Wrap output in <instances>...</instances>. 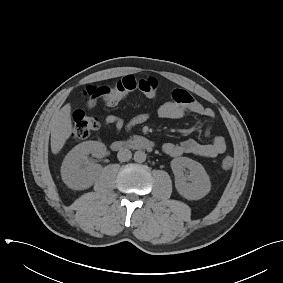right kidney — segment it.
Wrapping results in <instances>:
<instances>
[{
	"instance_id": "1",
	"label": "right kidney",
	"mask_w": 283,
	"mask_h": 283,
	"mask_svg": "<svg viewBox=\"0 0 283 283\" xmlns=\"http://www.w3.org/2000/svg\"><path fill=\"white\" fill-rule=\"evenodd\" d=\"M101 158L106 147L98 141H86L75 146L65 157L61 166L63 182L73 190H84L95 181L97 165L90 162L88 155Z\"/></svg>"
}]
</instances>
